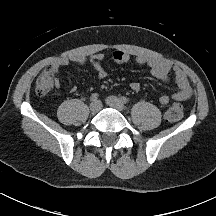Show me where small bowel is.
<instances>
[{
	"instance_id": "c3829d8e",
	"label": "small bowel",
	"mask_w": 216,
	"mask_h": 216,
	"mask_svg": "<svg viewBox=\"0 0 216 216\" xmlns=\"http://www.w3.org/2000/svg\"><path fill=\"white\" fill-rule=\"evenodd\" d=\"M109 58L118 64H124L132 59V56L121 50L113 51L107 54H95L90 57L86 56H74V57H64L54 59L46 70L51 71L54 75V82L57 88L61 87V81L59 78V70L67 65L73 64L77 66L91 65L97 73L99 79L106 77V70L104 67L105 60ZM136 63L140 65H146L150 69L151 75L157 80L169 83V74L172 72L174 74V82L177 86V90L171 95H161L159 102L162 105L168 104L171 100L187 101L192 97V89L190 87L189 81L187 79L184 71L178 66L172 64L170 61L150 56L139 54L134 56ZM141 88L140 83L134 81L130 83V89L134 92L139 91ZM71 92L74 88L70 89Z\"/></svg>"
}]
</instances>
